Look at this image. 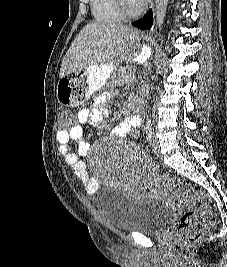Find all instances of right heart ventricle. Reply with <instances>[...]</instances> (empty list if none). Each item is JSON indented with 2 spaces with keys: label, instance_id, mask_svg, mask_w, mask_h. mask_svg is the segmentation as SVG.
<instances>
[{
  "label": "right heart ventricle",
  "instance_id": "1",
  "mask_svg": "<svg viewBox=\"0 0 227 267\" xmlns=\"http://www.w3.org/2000/svg\"><path fill=\"white\" fill-rule=\"evenodd\" d=\"M94 18L100 23H117L122 16L116 8L115 0H90Z\"/></svg>",
  "mask_w": 227,
  "mask_h": 267
}]
</instances>
